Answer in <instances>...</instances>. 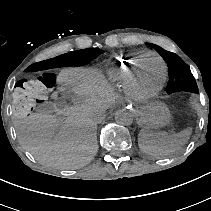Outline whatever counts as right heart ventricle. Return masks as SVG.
Returning <instances> with one entry per match:
<instances>
[{"label": "right heart ventricle", "mask_w": 211, "mask_h": 211, "mask_svg": "<svg viewBox=\"0 0 211 211\" xmlns=\"http://www.w3.org/2000/svg\"><path fill=\"white\" fill-rule=\"evenodd\" d=\"M148 50H128L126 53L115 55L104 67V74L108 78H116L119 86L123 87L129 94L131 92V74L135 72L139 61L150 58Z\"/></svg>", "instance_id": "e07e8e85"}]
</instances>
